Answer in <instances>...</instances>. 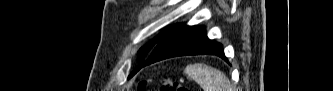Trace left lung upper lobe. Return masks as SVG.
Returning <instances> with one entry per match:
<instances>
[{
  "label": "left lung upper lobe",
  "mask_w": 333,
  "mask_h": 91,
  "mask_svg": "<svg viewBox=\"0 0 333 91\" xmlns=\"http://www.w3.org/2000/svg\"><path fill=\"white\" fill-rule=\"evenodd\" d=\"M169 29H170V27L166 28L163 32L159 33L153 40H151L148 44H146L139 50L138 57H139L141 64L143 63L142 61L145 59V57L150 54V52L153 50V48L156 46V44L161 40V38L165 35V33ZM139 66H138V68H139ZM138 68L133 72V74L138 71ZM132 75H130V77Z\"/></svg>",
  "instance_id": "left-lung-upper-lobe-1"
}]
</instances>
